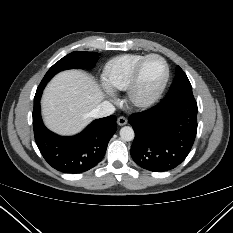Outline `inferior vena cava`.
<instances>
[{
  "instance_id": "obj_1",
  "label": "inferior vena cava",
  "mask_w": 233,
  "mask_h": 233,
  "mask_svg": "<svg viewBox=\"0 0 233 233\" xmlns=\"http://www.w3.org/2000/svg\"><path fill=\"white\" fill-rule=\"evenodd\" d=\"M115 112V107L108 101H104L96 106L91 112L90 117L102 118L107 117Z\"/></svg>"
}]
</instances>
